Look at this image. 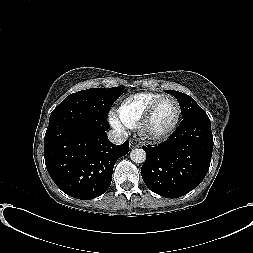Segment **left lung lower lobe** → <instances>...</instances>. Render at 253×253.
Segmentation results:
<instances>
[{
    "label": "left lung lower lobe",
    "instance_id": "left-lung-lower-lobe-1",
    "mask_svg": "<svg viewBox=\"0 0 253 253\" xmlns=\"http://www.w3.org/2000/svg\"><path fill=\"white\" fill-rule=\"evenodd\" d=\"M143 149L141 174L146 186L167 198L181 197L208 172L213 150L210 119L206 113L186 117L167 141Z\"/></svg>",
    "mask_w": 253,
    "mask_h": 253
}]
</instances>
